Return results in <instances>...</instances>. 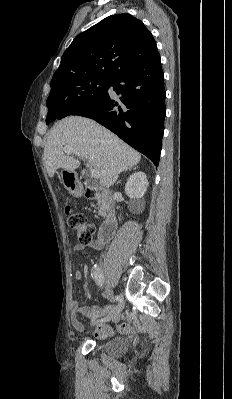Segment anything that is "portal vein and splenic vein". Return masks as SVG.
I'll use <instances>...</instances> for the list:
<instances>
[{
	"mask_svg": "<svg viewBox=\"0 0 232 399\" xmlns=\"http://www.w3.org/2000/svg\"><path fill=\"white\" fill-rule=\"evenodd\" d=\"M63 152H65V154H67V156H69V154H75V156H79V158H82V160H83V156H81L80 152H78V150H75V148H71V146H64ZM88 166H89V164H88ZM91 174H92V178H96V180H98L99 172H97V170H92Z\"/></svg>",
	"mask_w": 232,
	"mask_h": 399,
	"instance_id": "1",
	"label": "portal vein and splenic vein"
}]
</instances>
